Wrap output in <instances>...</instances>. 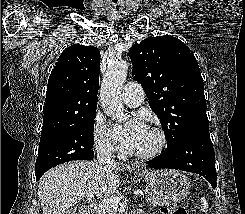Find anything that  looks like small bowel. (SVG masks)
I'll list each match as a JSON object with an SVG mask.
<instances>
[{"instance_id":"c3829d8e","label":"small bowel","mask_w":245,"mask_h":214,"mask_svg":"<svg viewBox=\"0 0 245 214\" xmlns=\"http://www.w3.org/2000/svg\"><path fill=\"white\" fill-rule=\"evenodd\" d=\"M135 214H144V213L141 211H137Z\"/></svg>"}]
</instances>
